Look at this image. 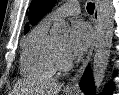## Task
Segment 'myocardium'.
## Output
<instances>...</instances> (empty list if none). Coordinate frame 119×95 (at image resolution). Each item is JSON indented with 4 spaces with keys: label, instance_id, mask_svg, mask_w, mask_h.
<instances>
[{
    "label": "myocardium",
    "instance_id": "f54148a6",
    "mask_svg": "<svg viewBox=\"0 0 119 95\" xmlns=\"http://www.w3.org/2000/svg\"><path fill=\"white\" fill-rule=\"evenodd\" d=\"M54 60L56 67L59 69H68L72 65L69 58L64 54L56 42L54 47Z\"/></svg>",
    "mask_w": 119,
    "mask_h": 95
}]
</instances>
